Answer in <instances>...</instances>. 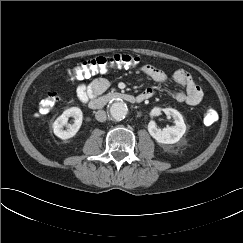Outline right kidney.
<instances>
[{
	"mask_svg": "<svg viewBox=\"0 0 243 243\" xmlns=\"http://www.w3.org/2000/svg\"><path fill=\"white\" fill-rule=\"evenodd\" d=\"M69 117H73L74 124L67 125ZM83 113L78 107H71L65 110L53 123L54 134L62 140L69 139L76 135L82 125ZM67 126V130L63 127Z\"/></svg>",
	"mask_w": 243,
	"mask_h": 243,
	"instance_id": "right-kidney-1",
	"label": "right kidney"
}]
</instances>
